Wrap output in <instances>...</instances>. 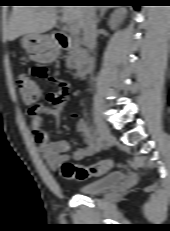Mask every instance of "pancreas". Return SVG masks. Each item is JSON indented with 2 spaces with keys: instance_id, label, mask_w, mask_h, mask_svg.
<instances>
[{
  "instance_id": "pancreas-1",
  "label": "pancreas",
  "mask_w": 170,
  "mask_h": 231,
  "mask_svg": "<svg viewBox=\"0 0 170 231\" xmlns=\"http://www.w3.org/2000/svg\"><path fill=\"white\" fill-rule=\"evenodd\" d=\"M81 49L78 46H74L67 55L66 64L67 67L72 69L75 68L80 60Z\"/></svg>"
}]
</instances>
